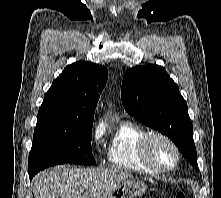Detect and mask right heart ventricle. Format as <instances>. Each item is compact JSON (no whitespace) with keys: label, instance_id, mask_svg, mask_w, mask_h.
<instances>
[{"label":"right heart ventricle","instance_id":"e07e8e85","mask_svg":"<svg viewBox=\"0 0 221 198\" xmlns=\"http://www.w3.org/2000/svg\"><path fill=\"white\" fill-rule=\"evenodd\" d=\"M146 133L144 128L132 122L120 123L108 148L110 164L125 171L157 173L145 165L140 156V142Z\"/></svg>","mask_w":221,"mask_h":198}]
</instances>
